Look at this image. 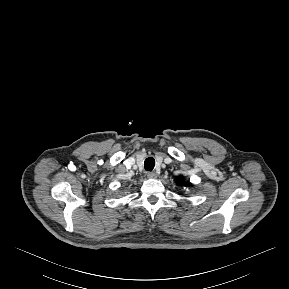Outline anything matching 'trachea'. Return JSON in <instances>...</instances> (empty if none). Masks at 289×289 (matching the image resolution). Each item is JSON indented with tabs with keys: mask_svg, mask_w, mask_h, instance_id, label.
Returning a JSON list of instances; mask_svg holds the SVG:
<instances>
[{
	"mask_svg": "<svg viewBox=\"0 0 289 289\" xmlns=\"http://www.w3.org/2000/svg\"><path fill=\"white\" fill-rule=\"evenodd\" d=\"M154 166H155V160L153 157H148L144 161V168L146 171H152L154 169Z\"/></svg>",
	"mask_w": 289,
	"mask_h": 289,
	"instance_id": "1",
	"label": "trachea"
}]
</instances>
